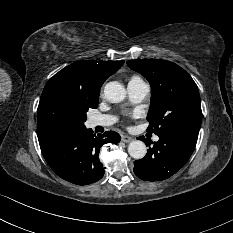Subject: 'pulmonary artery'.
<instances>
[{
	"label": "pulmonary artery",
	"mask_w": 233,
	"mask_h": 233,
	"mask_svg": "<svg viewBox=\"0 0 233 233\" xmlns=\"http://www.w3.org/2000/svg\"><path fill=\"white\" fill-rule=\"evenodd\" d=\"M129 97L134 102H141L148 94V85L143 81L129 82L127 86ZM115 119L109 115L95 116L91 122L93 126H110L114 123ZM154 141H158L159 137L155 136Z\"/></svg>",
	"instance_id": "1"
}]
</instances>
